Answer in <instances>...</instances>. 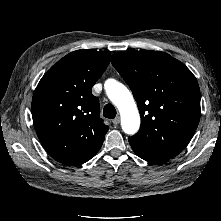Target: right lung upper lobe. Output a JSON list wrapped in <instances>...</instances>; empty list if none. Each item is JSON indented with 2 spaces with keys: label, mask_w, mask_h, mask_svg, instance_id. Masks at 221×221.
<instances>
[{
  "label": "right lung upper lobe",
  "mask_w": 221,
  "mask_h": 221,
  "mask_svg": "<svg viewBox=\"0 0 221 221\" xmlns=\"http://www.w3.org/2000/svg\"><path fill=\"white\" fill-rule=\"evenodd\" d=\"M110 52L77 50L53 65L32 98V118L47 153L60 163L77 166L101 148L108 131L99 117V99L91 93L106 70Z\"/></svg>",
  "instance_id": "right-lung-upper-lobe-1"
}]
</instances>
